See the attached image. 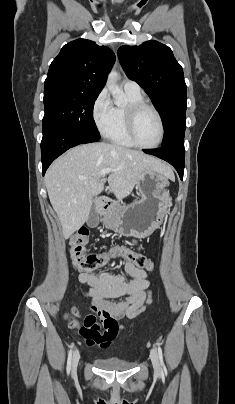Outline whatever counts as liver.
<instances>
[{"mask_svg": "<svg viewBox=\"0 0 235 404\" xmlns=\"http://www.w3.org/2000/svg\"><path fill=\"white\" fill-rule=\"evenodd\" d=\"M105 168L112 169L107 180L98 176ZM147 170L174 178L171 167L160 160L104 142L73 147L55 160L46 172L45 185L64 237H70L88 220L92 199L103 191L106 181L120 201Z\"/></svg>", "mask_w": 235, "mask_h": 404, "instance_id": "liver-1", "label": "liver"}]
</instances>
